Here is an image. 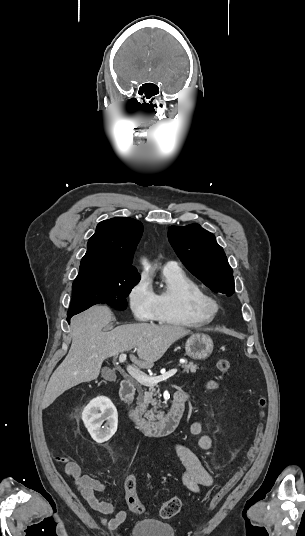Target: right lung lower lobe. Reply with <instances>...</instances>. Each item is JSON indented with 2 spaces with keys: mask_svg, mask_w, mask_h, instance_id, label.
I'll return each instance as SVG.
<instances>
[{
  "mask_svg": "<svg viewBox=\"0 0 305 536\" xmlns=\"http://www.w3.org/2000/svg\"><path fill=\"white\" fill-rule=\"evenodd\" d=\"M76 313H67L68 317H67V321L70 323V318L75 315Z\"/></svg>",
  "mask_w": 305,
  "mask_h": 536,
  "instance_id": "1",
  "label": "right lung lower lobe"
}]
</instances>
